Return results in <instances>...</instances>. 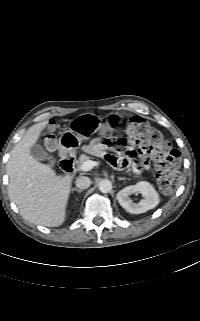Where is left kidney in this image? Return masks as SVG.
I'll list each match as a JSON object with an SVG mask.
<instances>
[{
  "instance_id": "5707ae66",
  "label": "left kidney",
  "mask_w": 200,
  "mask_h": 321,
  "mask_svg": "<svg viewBox=\"0 0 200 321\" xmlns=\"http://www.w3.org/2000/svg\"><path fill=\"white\" fill-rule=\"evenodd\" d=\"M140 193L144 199L134 203L130 195ZM119 204L132 214L144 213L155 208L159 203V196L154 187L146 181L138 182L136 185L127 186L117 193Z\"/></svg>"
}]
</instances>
